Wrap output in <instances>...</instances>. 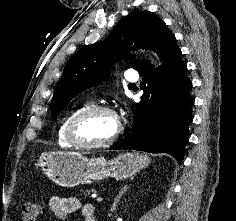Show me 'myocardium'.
Returning a JSON list of instances; mask_svg holds the SVG:
<instances>
[{
  "label": "myocardium",
  "mask_w": 236,
  "mask_h": 221,
  "mask_svg": "<svg viewBox=\"0 0 236 221\" xmlns=\"http://www.w3.org/2000/svg\"><path fill=\"white\" fill-rule=\"evenodd\" d=\"M99 112L108 113L116 118L118 126L115 134L108 140L102 142L91 143L82 141L81 139H79L77 135V128L79 124L86 117ZM121 132H122V125L119 116L112 107L107 105H91L81 109L70 119L66 129V138L76 148L99 149L114 144L119 139Z\"/></svg>",
  "instance_id": "1"
}]
</instances>
